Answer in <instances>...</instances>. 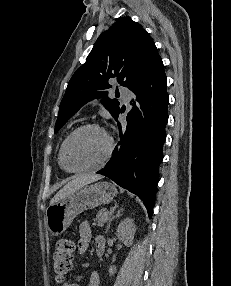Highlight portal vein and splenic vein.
<instances>
[{
  "label": "portal vein and splenic vein",
  "instance_id": "18ae733b",
  "mask_svg": "<svg viewBox=\"0 0 231 286\" xmlns=\"http://www.w3.org/2000/svg\"><path fill=\"white\" fill-rule=\"evenodd\" d=\"M114 211H115V207H111L110 212H114Z\"/></svg>",
  "mask_w": 231,
  "mask_h": 286
}]
</instances>
